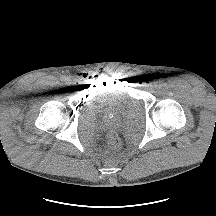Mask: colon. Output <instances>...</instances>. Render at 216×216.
I'll use <instances>...</instances> for the list:
<instances>
[{"label":"colon","mask_w":216,"mask_h":216,"mask_svg":"<svg viewBox=\"0 0 216 216\" xmlns=\"http://www.w3.org/2000/svg\"><path fill=\"white\" fill-rule=\"evenodd\" d=\"M106 144H107V146L112 147V148L118 147L120 144V139H119L118 135L114 132H110L106 136Z\"/></svg>","instance_id":"5ec220e1"}]
</instances>
